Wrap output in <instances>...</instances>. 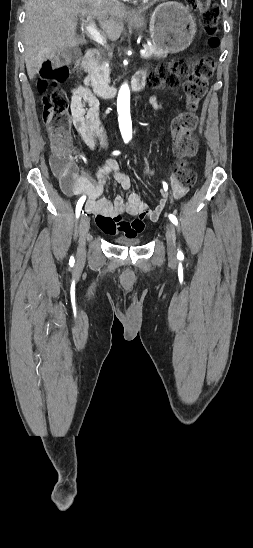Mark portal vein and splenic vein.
<instances>
[{
  "instance_id": "1",
  "label": "portal vein and splenic vein",
  "mask_w": 253,
  "mask_h": 548,
  "mask_svg": "<svg viewBox=\"0 0 253 548\" xmlns=\"http://www.w3.org/2000/svg\"><path fill=\"white\" fill-rule=\"evenodd\" d=\"M90 21H87L85 19H82V28L85 29L87 35L94 40L96 43L106 47V41L104 37L100 34V32L97 30L95 23L92 21V18L89 17ZM147 53L146 47H144L143 50L140 51V54L142 57H144Z\"/></svg>"
}]
</instances>
